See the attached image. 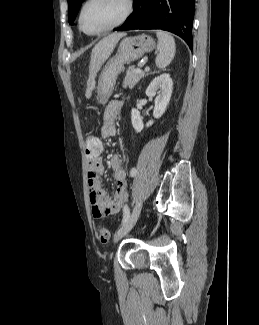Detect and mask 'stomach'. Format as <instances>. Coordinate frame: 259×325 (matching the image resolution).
Segmentation results:
<instances>
[{
  "label": "stomach",
  "mask_w": 259,
  "mask_h": 325,
  "mask_svg": "<svg viewBox=\"0 0 259 325\" xmlns=\"http://www.w3.org/2000/svg\"><path fill=\"white\" fill-rule=\"evenodd\" d=\"M154 48L155 41L148 35L124 38L119 44L116 55L107 62L99 76L97 86L99 103H106L111 96L117 76L123 71L124 65L140 59Z\"/></svg>",
  "instance_id": "0dacf381"
}]
</instances>
